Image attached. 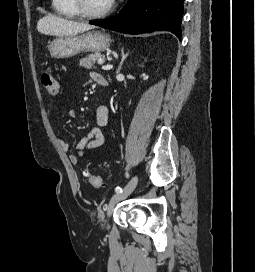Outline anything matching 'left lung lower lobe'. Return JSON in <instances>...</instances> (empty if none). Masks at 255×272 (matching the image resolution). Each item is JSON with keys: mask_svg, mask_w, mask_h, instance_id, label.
<instances>
[{"mask_svg": "<svg viewBox=\"0 0 255 272\" xmlns=\"http://www.w3.org/2000/svg\"><path fill=\"white\" fill-rule=\"evenodd\" d=\"M183 2L184 0H128L116 16L91 21L90 24L127 34L170 31L181 40Z\"/></svg>", "mask_w": 255, "mask_h": 272, "instance_id": "obj_1", "label": "left lung lower lobe"}]
</instances>
